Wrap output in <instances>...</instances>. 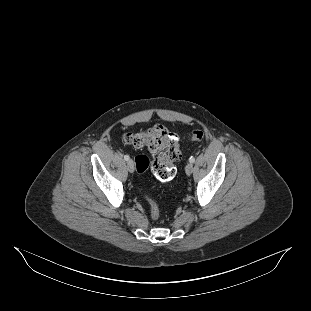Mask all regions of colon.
<instances>
[{
	"label": "colon",
	"mask_w": 311,
	"mask_h": 311,
	"mask_svg": "<svg viewBox=\"0 0 311 311\" xmlns=\"http://www.w3.org/2000/svg\"><path fill=\"white\" fill-rule=\"evenodd\" d=\"M203 137L201 130H193L188 134V139L194 143L202 141ZM124 141L137 148L145 147L154 155L151 163L146 155H138L135 158L138 174H144L151 166L153 174L159 180L173 179L176 174L174 162L179 159L180 151L176 136L165 126L157 124L149 129L129 133L124 137ZM146 199L150 205L151 218L155 221L158 220L160 216L158 204L148 195H146Z\"/></svg>",
	"instance_id": "colon-1"
}]
</instances>
